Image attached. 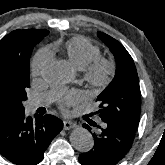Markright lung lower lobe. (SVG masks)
<instances>
[{"instance_id":"98d812e1","label":"right lung lower lobe","mask_w":165,"mask_h":165,"mask_svg":"<svg viewBox=\"0 0 165 165\" xmlns=\"http://www.w3.org/2000/svg\"><path fill=\"white\" fill-rule=\"evenodd\" d=\"M35 119L26 118L23 111L0 123V154L14 164H38L62 130V120L53 115H35Z\"/></svg>"}]
</instances>
